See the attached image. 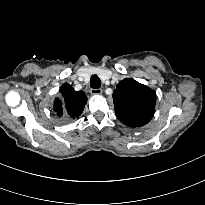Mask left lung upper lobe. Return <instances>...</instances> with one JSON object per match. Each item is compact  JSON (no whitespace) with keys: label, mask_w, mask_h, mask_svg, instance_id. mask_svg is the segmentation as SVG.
Listing matches in <instances>:
<instances>
[{"label":"left lung upper lobe","mask_w":205,"mask_h":205,"mask_svg":"<svg viewBox=\"0 0 205 205\" xmlns=\"http://www.w3.org/2000/svg\"><path fill=\"white\" fill-rule=\"evenodd\" d=\"M113 100L118 119L132 128L147 124L155 112V91L134 79L127 78L119 82Z\"/></svg>","instance_id":"1"}]
</instances>
